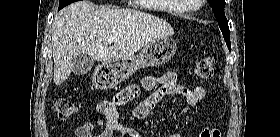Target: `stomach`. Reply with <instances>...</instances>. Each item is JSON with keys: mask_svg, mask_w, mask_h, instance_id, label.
<instances>
[{"mask_svg": "<svg viewBox=\"0 0 280 137\" xmlns=\"http://www.w3.org/2000/svg\"><path fill=\"white\" fill-rule=\"evenodd\" d=\"M176 49L177 45L173 39L163 37L154 40L137 55L103 62L98 66L94 83L100 89L115 87L141 68L164 65L173 58Z\"/></svg>", "mask_w": 280, "mask_h": 137, "instance_id": "obj_1", "label": "stomach"}]
</instances>
